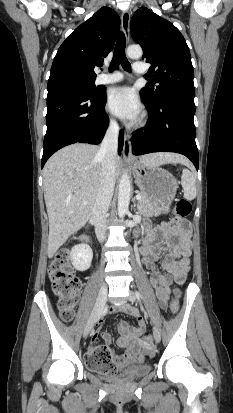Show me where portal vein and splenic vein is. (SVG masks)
Returning a JSON list of instances; mask_svg holds the SVG:
<instances>
[{"label": "portal vein and splenic vein", "instance_id": "portal-vein-and-splenic-vein-1", "mask_svg": "<svg viewBox=\"0 0 233 413\" xmlns=\"http://www.w3.org/2000/svg\"><path fill=\"white\" fill-rule=\"evenodd\" d=\"M141 198H142V197H141L140 194H137V195H136V199H137V200H141ZM84 204H86V202H84Z\"/></svg>", "mask_w": 233, "mask_h": 413}]
</instances>
